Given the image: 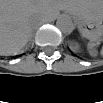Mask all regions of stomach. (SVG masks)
<instances>
[{
  "mask_svg": "<svg viewBox=\"0 0 103 103\" xmlns=\"http://www.w3.org/2000/svg\"><path fill=\"white\" fill-rule=\"evenodd\" d=\"M82 2L72 6L70 14L81 35L96 40L103 33V3L100 0H78Z\"/></svg>",
  "mask_w": 103,
  "mask_h": 103,
  "instance_id": "stomach-1",
  "label": "stomach"
}]
</instances>
